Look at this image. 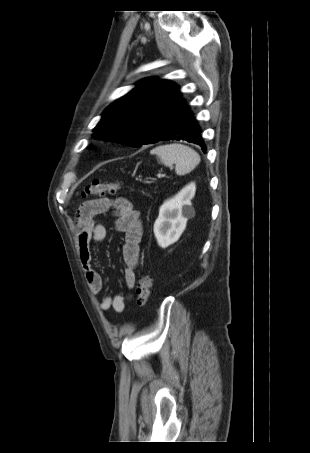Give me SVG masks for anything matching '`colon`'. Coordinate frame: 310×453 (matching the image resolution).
Here are the masks:
<instances>
[{"instance_id": "colon-1", "label": "colon", "mask_w": 310, "mask_h": 453, "mask_svg": "<svg viewBox=\"0 0 310 453\" xmlns=\"http://www.w3.org/2000/svg\"><path fill=\"white\" fill-rule=\"evenodd\" d=\"M120 188L119 182H103L94 180L90 182L82 191L83 197L102 196L105 194H115ZM152 279L148 274L139 277L136 288V303L144 306L149 300L151 293Z\"/></svg>"}]
</instances>
